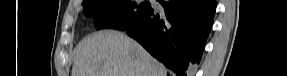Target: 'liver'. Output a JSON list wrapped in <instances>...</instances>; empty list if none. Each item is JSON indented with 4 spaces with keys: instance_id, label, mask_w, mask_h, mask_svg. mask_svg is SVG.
I'll return each mask as SVG.
<instances>
[{
    "instance_id": "liver-1",
    "label": "liver",
    "mask_w": 287,
    "mask_h": 76,
    "mask_svg": "<svg viewBox=\"0 0 287 76\" xmlns=\"http://www.w3.org/2000/svg\"><path fill=\"white\" fill-rule=\"evenodd\" d=\"M163 64L123 33L99 31L74 49L71 76H166Z\"/></svg>"
}]
</instances>
